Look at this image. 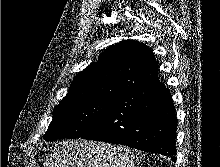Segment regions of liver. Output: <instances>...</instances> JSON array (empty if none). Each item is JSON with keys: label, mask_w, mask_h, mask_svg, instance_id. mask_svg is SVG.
Segmentation results:
<instances>
[{"label": "liver", "mask_w": 220, "mask_h": 167, "mask_svg": "<svg viewBox=\"0 0 220 167\" xmlns=\"http://www.w3.org/2000/svg\"><path fill=\"white\" fill-rule=\"evenodd\" d=\"M143 158L128 147L75 139L57 142L44 167H138Z\"/></svg>", "instance_id": "obj_1"}]
</instances>
